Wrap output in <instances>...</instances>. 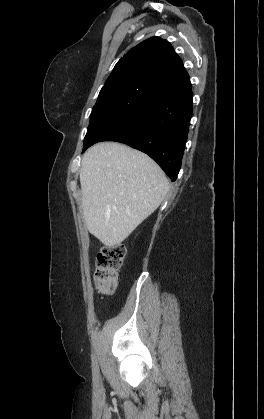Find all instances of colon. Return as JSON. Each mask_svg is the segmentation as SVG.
Returning <instances> with one entry per match:
<instances>
[{"instance_id":"colon-1","label":"colon","mask_w":264,"mask_h":419,"mask_svg":"<svg viewBox=\"0 0 264 419\" xmlns=\"http://www.w3.org/2000/svg\"><path fill=\"white\" fill-rule=\"evenodd\" d=\"M126 250L123 245L104 246L96 260L94 282L97 290L103 294L113 292L116 286L117 272L125 258Z\"/></svg>"}]
</instances>
